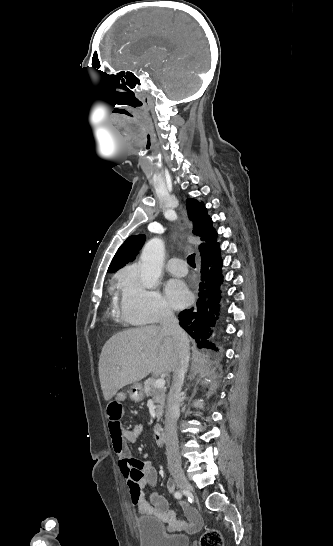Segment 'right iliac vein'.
Instances as JSON below:
<instances>
[{
	"label": "right iliac vein",
	"mask_w": 333,
	"mask_h": 546,
	"mask_svg": "<svg viewBox=\"0 0 333 546\" xmlns=\"http://www.w3.org/2000/svg\"><path fill=\"white\" fill-rule=\"evenodd\" d=\"M172 476L180 489L183 491H192V486L182 471L176 470L172 472Z\"/></svg>",
	"instance_id": "1"
}]
</instances>
